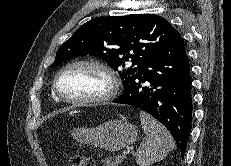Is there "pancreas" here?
<instances>
[{"instance_id": "1", "label": "pancreas", "mask_w": 231, "mask_h": 166, "mask_svg": "<svg viewBox=\"0 0 231 166\" xmlns=\"http://www.w3.org/2000/svg\"><path fill=\"white\" fill-rule=\"evenodd\" d=\"M123 160L122 157L116 156L113 160L112 158H106L103 161V166H118L119 163H121Z\"/></svg>"}]
</instances>
